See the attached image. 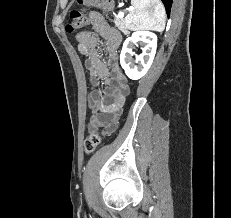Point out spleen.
<instances>
[{"label": "spleen", "instance_id": "obj_1", "mask_svg": "<svg viewBox=\"0 0 231 218\" xmlns=\"http://www.w3.org/2000/svg\"><path fill=\"white\" fill-rule=\"evenodd\" d=\"M131 5L133 8L124 19L129 30H164L166 12L161 0H131Z\"/></svg>", "mask_w": 231, "mask_h": 218}]
</instances>
